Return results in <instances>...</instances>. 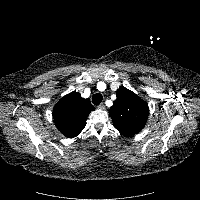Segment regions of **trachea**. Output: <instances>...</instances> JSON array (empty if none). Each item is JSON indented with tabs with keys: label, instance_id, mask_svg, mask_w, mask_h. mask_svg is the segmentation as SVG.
<instances>
[{
	"label": "trachea",
	"instance_id": "trachea-1",
	"mask_svg": "<svg viewBox=\"0 0 200 200\" xmlns=\"http://www.w3.org/2000/svg\"><path fill=\"white\" fill-rule=\"evenodd\" d=\"M103 100V96L100 93H96L92 96V102L94 105H99Z\"/></svg>",
	"mask_w": 200,
	"mask_h": 200
}]
</instances>
